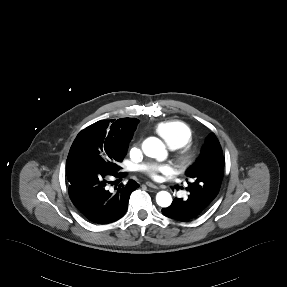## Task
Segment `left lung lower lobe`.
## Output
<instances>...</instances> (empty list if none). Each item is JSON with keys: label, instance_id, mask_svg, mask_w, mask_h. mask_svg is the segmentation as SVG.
<instances>
[{"label": "left lung lower lobe", "instance_id": "left-lung-lower-lobe-1", "mask_svg": "<svg viewBox=\"0 0 287 287\" xmlns=\"http://www.w3.org/2000/svg\"><path fill=\"white\" fill-rule=\"evenodd\" d=\"M211 202L200 199L198 196L189 193L188 198H175L172 204L162 209V213L172 219L186 221L196 218L202 214Z\"/></svg>", "mask_w": 287, "mask_h": 287}]
</instances>
